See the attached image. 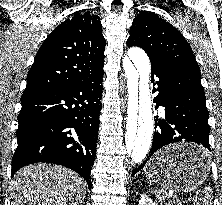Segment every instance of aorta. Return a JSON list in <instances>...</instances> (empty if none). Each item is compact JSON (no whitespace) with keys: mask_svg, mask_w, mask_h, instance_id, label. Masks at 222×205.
Instances as JSON below:
<instances>
[{"mask_svg":"<svg viewBox=\"0 0 222 205\" xmlns=\"http://www.w3.org/2000/svg\"><path fill=\"white\" fill-rule=\"evenodd\" d=\"M123 67L129 97L124 155L128 162L140 164L150 150L154 131L149 58L142 49L130 48L123 59Z\"/></svg>","mask_w":222,"mask_h":205,"instance_id":"762f6f07","label":"aorta"}]
</instances>
